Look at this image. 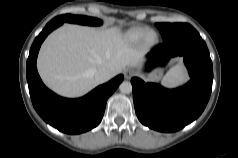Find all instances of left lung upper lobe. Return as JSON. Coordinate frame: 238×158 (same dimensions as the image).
<instances>
[{"label": "left lung upper lobe", "instance_id": "left-lung-upper-lobe-1", "mask_svg": "<svg viewBox=\"0 0 238 158\" xmlns=\"http://www.w3.org/2000/svg\"><path fill=\"white\" fill-rule=\"evenodd\" d=\"M156 26L160 30L164 40L193 28L191 25L186 23H156Z\"/></svg>", "mask_w": 238, "mask_h": 158}]
</instances>
